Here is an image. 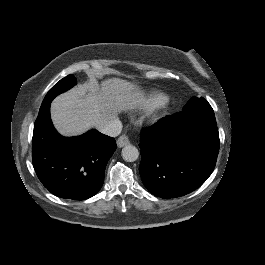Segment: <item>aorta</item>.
I'll return each instance as SVG.
<instances>
[{
	"label": "aorta",
	"mask_w": 265,
	"mask_h": 265,
	"mask_svg": "<svg viewBox=\"0 0 265 265\" xmlns=\"http://www.w3.org/2000/svg\"><path fill=\"white\" fill-rule=\"evenodd\" d=\"M138 157H139V151L135 146L129 144L122 149V158L125 161L134 162L138 159Z\"/></svg>",
	"instance_id": "obj_1"
}]
</instances>
